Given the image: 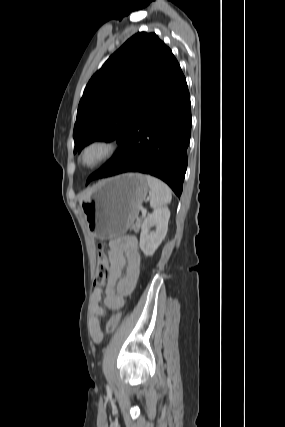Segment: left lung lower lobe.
Masks as SVG:
<instances>
[{"label":"left lung lower lobe","instance_id":"obj_1","mask_svg":"<svg viewBox=\"0 0 285 427\" xmlns=\"http://www.w3.org/2000/svg\"><path fill=\"white\" fill-rule=\"evenodd\" d=\"M190 133V95L182 70L172 54L117 154L90 175L87 184L120 173L141 172L162 179L180 196Z\"/></svg>","mask_w":285,"mask_h":427}]
</instances>
